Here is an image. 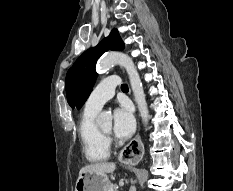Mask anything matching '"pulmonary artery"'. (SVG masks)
I'll use <instances>...</instances> for the list:
<instances>
[{
    "mask_svg": "<svg viewBox=\"0 0 233 191\" xmlns=\"http://www.w3.org/2000/svg\"><path fill=\"white\" fill-rule=\"evenodd\" d=\"M119 83L120 80L117 76H109L103 79L90 94L85 104V110L98 112L114 96Z\"/></svg>",
    "mask_w": 233,
    "mask_h": 191,
    "instance_id": "e3ab8cb5",
    "label": "pulmonary artery"
}]
</instances>
